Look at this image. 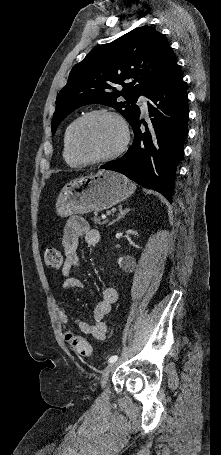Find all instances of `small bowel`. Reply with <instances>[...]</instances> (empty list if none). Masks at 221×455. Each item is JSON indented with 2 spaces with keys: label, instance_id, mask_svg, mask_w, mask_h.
<instances>
[{
  "label": "small bowel",
  "instance_id": "c3829d8e",
  "mask_svg": "<svg viewBox=\"0 0 221 455\" xmlns=\"http://www.w3.org/2000/svg\"><path fill=\"white\" fill-rule=\"evenodd\" d=\"M100 238L99 231L91 229L84 219L80 217H72L69 219L64 228L62 237L65 257L62 266V274L65 277L63 282L64 291H68L72 288L82 289L84 287L79 279L70 276V274L80 266L77 248L81 239H83L88 246H96L99 244ZM117 298L118 293L115 287L107 286L103 289L102 297L96 303L93 310V324L73 317L65 309H60L58 311V319L63 325H68L70 321L73 320L82 333L89 335L96 340H104L108 330L104 318L110 313L111 307L117 301Z\"/></svg>",
  "mask_w": 221,
  "mask_h": 455
}]
</instances>
